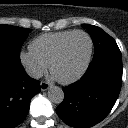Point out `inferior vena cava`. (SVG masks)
<instances>
[{"label":"inferior vena cava","mask_w":128,"mask_h":128,"mask_svg":"<svg viewBox=\"0 0 128 128\" xmlns=\"http://www.w3.org/2000/svg\"><path fill=\"white\" fill-rule=\"evenodd\" d=\"M26 72L30 77L35 79H39L43 76V73L35 67H27Z\"/></svg>","instance_id":"1"}]
</instances>
